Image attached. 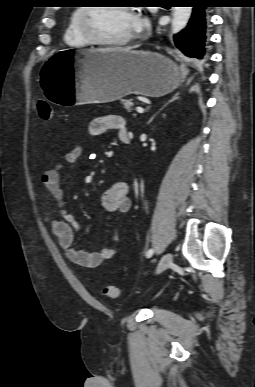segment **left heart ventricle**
<instances>
[{"label": "left heart ventricle", "instance_id": "b2bd125f", "mask_svg": "<svg viewBox=\"0 0 255 387\" xmlns=\"http://www.w3.org/2000/svg\"><path fill=\"white\" fill-rule=\"evenodd\" d=\"M90 22L104 39L118 40L134 33L133 15L120 7H100L92 13Z\"/></svg>", "mask_w": 255, "mask_h": 387}]
</instances>
